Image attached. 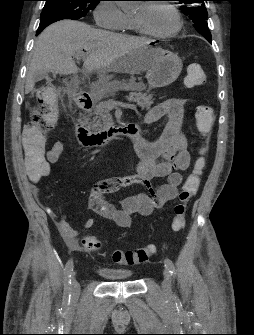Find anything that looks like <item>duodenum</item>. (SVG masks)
<instances>
[{
    "label": "duodenum",
    "instance_id": "obj_1",
    "mask_svg": "<svg viewBox=\"0 0 254 335\" xmlns=\"http://www.w3.org/2000/svg\"><path fill=\"white\" fill-rule=\"evenodd\" d=\"M76 104L82 111H88L93 102L89 95L80 94L76 97ZM75 130L80 143L89 148L104 146L117 137H128L135 141L141 136V129L135 123L113 125L100 131L91 130L84 116L78 118Z\"/></svg>",
    "mask_w": 254,
    "mask_h": 335
}]
</instances>
